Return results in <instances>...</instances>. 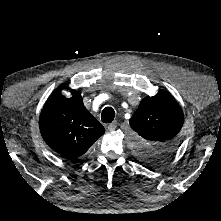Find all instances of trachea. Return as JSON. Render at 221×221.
I'll use <instances>...</instances> for the list:
<instances>
[{
    "label": "trachea",
    "mask_w": 221,
    "mask_h": 221,
    "mask_svg": "<svg viewBox=\"0 0 221 221\" xmlns=\"http://www.w3.org/2000/svg\"><path fill=\"white\" fill-rule=\"evenodd\" d=\"M115 117V111L111 107H105L101 114V119L103 123H110Z\"/></svg>",
    "instance_id": "3493384b"
}]
</instances>
